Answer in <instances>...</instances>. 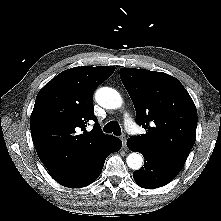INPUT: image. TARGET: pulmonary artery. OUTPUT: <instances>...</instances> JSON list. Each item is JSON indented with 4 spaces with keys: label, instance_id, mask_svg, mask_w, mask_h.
I'll use <instances>...</instances> for the list:
<instances>
[{
    "label": "pulmonary artery",
    "instance_id": "1",
    "mask_svg": "<svg viewBox=\"0 0 221 221\" xmlns=\"http://www.w3.org/2000/svg\"><path fill=\"white\" fill-rule=\"evenodd\" d=\"M125 126L129 132H134L136 130L135 124L129 116L125 117Z\"/></svg>",
    "mask_w": 221,
    "mask_h": 221
}]
</instances>
